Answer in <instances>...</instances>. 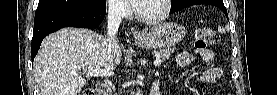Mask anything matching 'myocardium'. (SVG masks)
I'll return each instance as SVG.
<instances>
[{"mask_svg":"<svg viewBox=\"0 0 277 95\" xmlns=\"http://www.w3.org/2000/svg\"><path fill=\"white\" fill-rule=\"evenodd\" d=\"M161 1L163 2V5H164V9L161 14H159L157 16H153V17H144L139 13L137 7L134 6L132 11H133L135 18L146 24H157V23L163 21L169 15V13L171 11V0H161Z\"/></svg>","mask_w":277,"mask_h":95,"instance_id":"f54148a6","label":"myocardium"}]
</instances>
